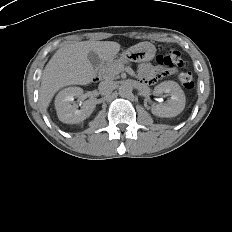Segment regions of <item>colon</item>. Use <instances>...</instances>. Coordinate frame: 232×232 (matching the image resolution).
Instances as JSON below:
<instances>
[{
  "label": "colon",
  "mask_w": 232,
  "mask_h": 232,
  "mask_svg": "<svg viewBox=\"0 0 232 232\" xmlns=\"http://www.w3.org/2000/svg\"><path fill=\"white\" fill-rule=\"evenodd\" d=\"M157 63V67L173 68L175 73H178V78L185 88L191 89L193 87V76L191 72L183 70L185 64L179 51L170 50L159 55Z\"/></svg>",
  "instance_id": "colon-1"
}]
</instances>
